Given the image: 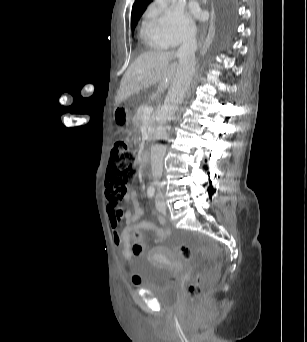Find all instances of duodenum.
Wrapping results in <instances>:
<instances>
[{
	"mask_svg": "<svg viewBox=\"0 0 307 342\" xmlns=\"http://www.w3.org/2000/svg\"><path fill=\"white\" fill-rule=\"evenodd\" d=\"M141 160L144 167L149 164L150 154L147 150L141 152Z\"/></svg>",
	"mask_w": 307,
	"mask_h": 342,
	"instance_id": "obj_1",
	"label": "duodenum"
}]
</instances>
